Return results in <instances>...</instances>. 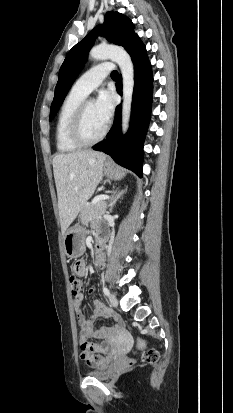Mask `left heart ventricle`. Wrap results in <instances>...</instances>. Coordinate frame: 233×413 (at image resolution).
Instances as JSON below:
<instances>
[{
    "label": "left heart ventricle",
    "instance_id": "left-heart-ventricle-1",
    "mask_svg": "<svg viewBox=\"0 0 233 413\" xmlns=\"http://www.w3.org/2000/svg\"><path fill=\"white\" fill-rule=\"evenodd\" d=\"M106 123L100 118L95 108V103L90 101L87 105L84 119V135L88 139L96 138L105 128Z\"/></svg>",
    "mask_w": 233,
    "mask_h": 413
}]
</instances>
